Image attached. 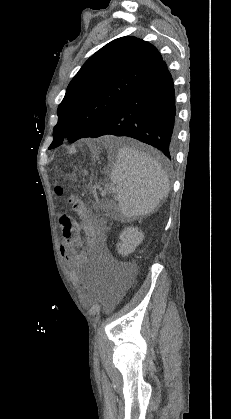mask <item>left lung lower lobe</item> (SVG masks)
<instances>
[{"label": "left lung lower lobe", "mask_w": 231, "mask_h": 419, "mask_svg": "<svg viewBox=\"0 0 231 419\" xmlns=\"http://www.w3.org/2000/svg\"><path fill=\"white\" fill-rule=\"evenodd\" d=\"M173 80L162 61L131 91L90 137L128 136L157 148L172 159L176 141Z\"/></svg>", "instance_id": "left-lung-lower-lobe-1"}]
</instances>
